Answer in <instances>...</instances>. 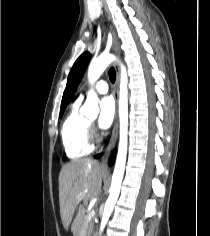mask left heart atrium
I'll return each mask as SVG.
<instances>
[{"label": "left heart atrium", "instance_id": "obj_1", "mask_svg": "<svg viewBox=\"0 0 210 236\" xmlns=\"http://www.w3.org/2000/svg\"><path fill=\"white\" fill-rule=\"evenodd\" d=\"M115 115V105L111 97H105L100 103V114L98 126L101 129H107L113 122Z\"/></svg>", "mask_w": 210, "mask_h": 236}]
</instances>
